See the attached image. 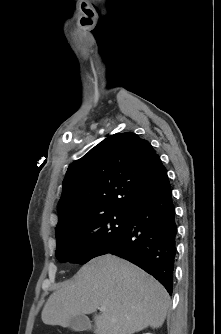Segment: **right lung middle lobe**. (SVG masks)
Here are the masks:
<instances>
[{"mask_svg": "<svg viewBox=\"0 0 221 334\" xmlns=\"http://www.w3.org/2000/svg\"><path fill=\"white\" fill-rule=\"evenodd\" d=\"M128 220L129 213L110 212L69 227L56 237V257L85 264L118 243Z\"/></svg>", "mask_w": 221, "mask_h": 334, "instance_id": "right-lung-middle-lobe-1", "label": "right lung middle lobe"}]
</instances>
